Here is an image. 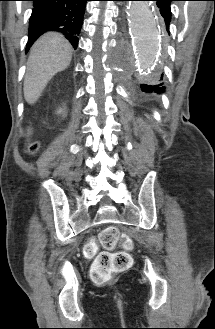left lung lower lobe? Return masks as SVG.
<instances>
[{
	"instance_id": "left-lung-lower-lobe-1",
	"label": "left lung lower lobe",
	"mask_w": 215,
	"mask_h": 329,
	"mask_svg": "<svg viewBox=\"0 0 215 329\" xmlns=\"http://www.w3.org/2000/svg\"><path fill=\"white\" fill-rule=\"evenodd\" d=\"M156 1L157 6L160 8V13L162 15V17L164 18L165 21V25H166V30L169 33V24L171 21V10H170V3L172 1H176V0H153ZM162 78V77H161ZM142 89L143 91L146 92H163L165 90V87L162 86V84L159 85H146V84H142Z\"/></svg>"
}]
</instances>
